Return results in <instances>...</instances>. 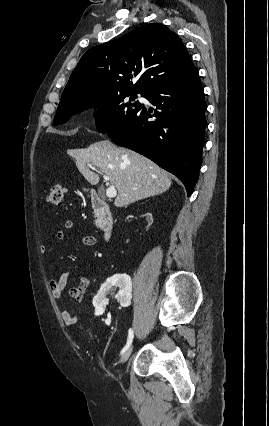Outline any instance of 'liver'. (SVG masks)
I'll return each mask as SVG.
<instances>
[{
	"mask_svg": "<svg viewBox=\"0 0 269 426\" xmlns=\"http://www.w3.org/2000/svg\"><path fill=\"white\" fill-rule=\"evenodd\" d=\"M69 154L91 185L98 184L100 178L88 168L89 165L99 168L109 178L118 191L114 201L116 207L159 195L172 184L168 172L151 160L132 150L117 147L109 140L70 150Z\"/></svg>",
	"mask_w": 269,
	"mask_h": 426,
	"instance_id": "6515ba94",
	"label": "liver"
}]
</instances>
